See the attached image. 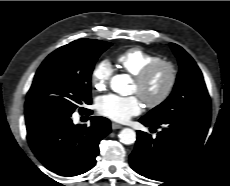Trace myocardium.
I'll return each mask as SVG.
<instances>
[{"label": "myocardium", "instance_id": "myocardium-1", "mask_svg": "<svg viewBox=\"0 0 230 186\" xmlns=\"http://www.w3.org/2000/svg\"><path fill=\"white\" fill-rule=\"evenodd\" d=\"M160 70H165L168 75L167 83L163 91L154 99H148L142 94L143 87ZM178 71L176 66L166 60H159L150 64L140 73L134 76V82L137 85V94L141 97L147 107L155 108L162 105L172 94L177 83Z\"/></svg>", "mask_w": 230, "mask_h": 186}]
</instances>
